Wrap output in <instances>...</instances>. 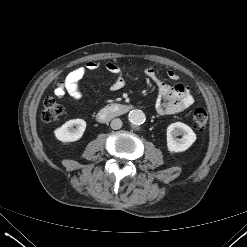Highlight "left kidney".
<instances>
[{"label": "left kidney", "mask_w": 247, "mask_h": 247, "mask_svg": "<svg viewBox=\"0 0 247 247\" xmlns=\"http://www.w3.org/2000/svg\"><path fill=\"white\" fill-rule=\"evenodd\" d=\"M182 135L177 140L173 136ZM196 134L186 124L181 122L172 123L167 127V148L171 153L186 151L196 141Z\"/></svg>", "instance_id": "left-kidney-1"}]
</instances>
